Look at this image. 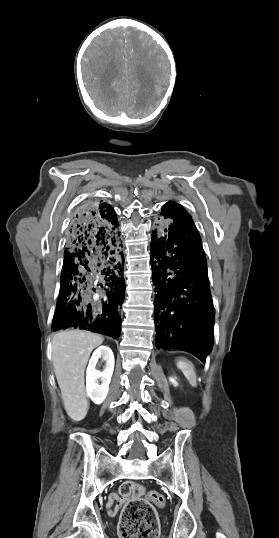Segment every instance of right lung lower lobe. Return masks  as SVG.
Returning <instances> with one entry per match:
<instances>
[{"instance_id":"obj_1","label":"right lung lower lobe","mask_w":279,"mask_h":538,"mask_svg":"<svg viewBox=\"0 0 279 538\" xmlns=\"http://www.w3.org/2000/svg\"><path fill=\"white\" fill-rule=\"evenodd\" d=\"M118 226L114 209L102 201L73 215L52 331L78 328L119 337L125 280Z\"/></svg>"}]
</instances>
